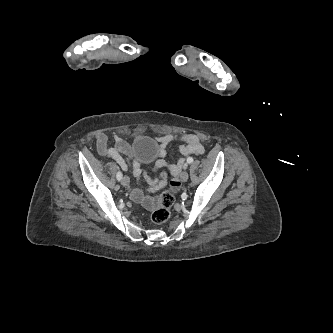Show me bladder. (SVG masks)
<instances>
[{
  "label": "bladder",
  "instance_id": "bladder-1",
  "mask_svg": "<svg viewBox=\"0 0 333 333\" xmlns=\"http://www.w3.org/2000/svg\"><path fill=\"white\" fill-rule=\"evenodd\" d=\"M133 152L142 162L154 160L159 153V143L153 137L141 135L134 140Z\"/></svg>",
  "mask_w": 333,
  "mask_h": 333
}]
</instances>
